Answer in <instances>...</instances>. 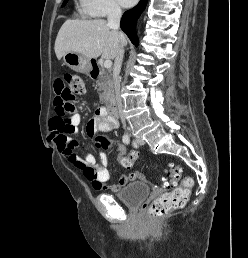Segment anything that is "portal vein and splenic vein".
Here are the masks:
<instances>
[{
	"mask_svg": "<svg viewBox=\"0 0 248 258\" xmlns=\"http://www.w3.org/2000/svg\"><path fill=\"white\" fill-rule=\"evenodd\" d=\"M112 66V61L107 59L104 61V67L105 68H110Z\"/></svg>",
	"mask_w": 248,
	"mask_h": 258,
	"instance_id": "1",
	"label": "portal vein and splenic vein"
}]
</instances>
